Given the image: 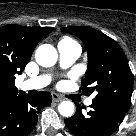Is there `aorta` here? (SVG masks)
Returning a JSON list of instances; mask_svg holds the SVG:
<instances>
[{"mask_svg":"<svg viewBox=\"0 0 136 136\" xmlns=\"http://www.w3.org/2000/svg\"><path fill=\"white\" fill-rule=\"evenodd\" d=\"M58 54L56 49L49 45L43 44L38 47L35 53V59L40 66L51 67L57 62ZM74 103L71 101H63L58 106V111L62 116L70 117L74 113Z\"/></svg>","mask_w":136,"mask_h":136,"instance_id":"obj_1","label":"aorta"}]
</instances>
